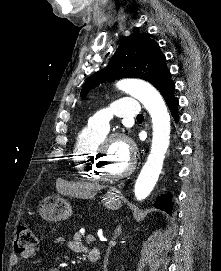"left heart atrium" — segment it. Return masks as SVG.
<instances>
[{"label": "left heart atrium", "instance_id": "obj_1", "mask_svg": "<svg viewBox=\"0 0 221 271\" xmlns=\"http://www.w3.org/2000/svg\"><path fill=\"white\" fill-rule=\"evenodd\" d=\"M109 157H128V152L124 148H117L116 152H109Z\"/></svg>", "mask_w": 221, "mask_h": 271}]
</instances>
